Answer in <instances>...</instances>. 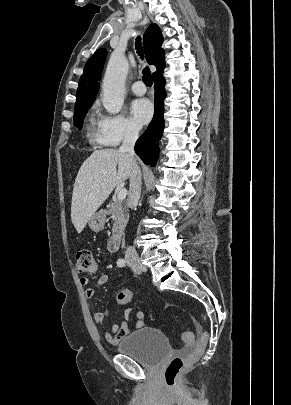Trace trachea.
Returning a JSON list of instances; mask_svg holds the SVG:
<instances>
[{
  "label": "trachea",
  "mask_w": 291,
  "mask_h": 405,
  "mask_svg": "<svg viewBox=\"0 0 291 405\" xmlns=\"http://www.w3.org/2000/svg\"><path fill=\"white\" fill-rule=\"evenodd\" d=\"M136 50H137V53L141 56V58H143V49H142V46H141V38L140 37L136 38ZM142 74H143V82L147 86L151 87L152 86V78H151L150 69L148 67H145L143 69V71H142Z\"/></svg>",
  "instance_id": "trachea-1"
}]
</instances>
